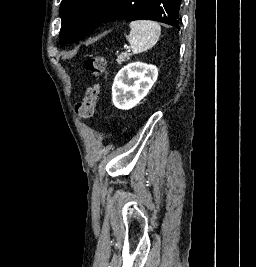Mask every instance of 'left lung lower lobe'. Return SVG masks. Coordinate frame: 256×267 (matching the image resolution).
I'll return each instance as SVG.
<instances>
[{
	"label": "left lung lower lobe",
	"mask_w": 256,
	"mask_h": 267,
	"mask_svg": "<svg viewBox=\"0 0 256 267\" xmlns=\"http://www.w3.org/2000/svg\"><path fill=\"white\" fill-rule=\"evenodd\" d=\"M180 3H181V0H175V4H176V26H179V29H180V18H179Z\"/></svg>",
	"instance_id": "1"
}]
</instances>
